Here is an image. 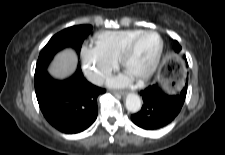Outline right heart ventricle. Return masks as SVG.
I'll use <instances>...</instances> for the list:
<instances>
[{"mask_svg":"<svg viewBox=\"0 0 225 155\" xmlns=\"http://www.w3.org/2000/svg\"><path fill=\"white\" fill-rule=\"evenodd\" d=\"M142 31L126 29L100 32L94 37L95 48L103 55L118 61L127 43Z\"/></svg>","mask_w":225,"mask_h":155,"instance_id":"1","label":"right heart ventricle"}]
</instances>
